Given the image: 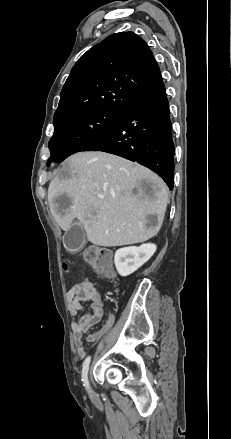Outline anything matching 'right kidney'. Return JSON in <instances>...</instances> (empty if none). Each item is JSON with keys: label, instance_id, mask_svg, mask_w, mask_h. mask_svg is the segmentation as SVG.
Listing matches in <instances>:
<instances>
[{"label": "right kidney", "instance_id": "obj_1", "mask_svg": "<svg viewBox=\"0 0 231 439\" xmlns=\"http://www.w3.org/2000/svg\"><path fill=\"white\" fill-rule=\"evenodd\" d=\"M152 243L142 244L138 247H124L116 251L114 263L121 276H128L146 263L156 251Z\"/></svg>", "mask_w": 231, "mask_h": 439}]
</instances>
